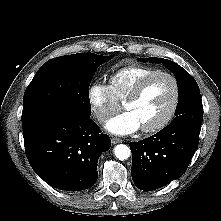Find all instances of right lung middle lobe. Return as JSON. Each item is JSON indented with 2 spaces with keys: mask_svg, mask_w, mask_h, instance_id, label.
<instances>
[{
  "mask_svg": "<svg viewBox=\"0 0 221 221\" xmlns=\"http://www.w3.org/2000/svg\"><path fill=\"white\" fill-rule=\"evenodd\" d=\"M110 58L78 53L47 61L24 93L22 126L55 110L90 117L89 85L96 69Z\"/></svg>",
  "mask_w": 221,
  "mask_h": 221,
  "instance_id": "dd1d6c3e",
  "label": "right lung middle lobe"
}]
</instances>
